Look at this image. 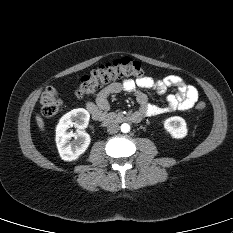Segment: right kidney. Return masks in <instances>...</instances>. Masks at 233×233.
<instances>
[{"label": "right kidney", "mask_w": 233, "mask_h": 233, "mask_svg": "<svg viewBox=\"0 0 233 233\" xmlns=\"http://www.w3.org/2000/svg\"><path fill=\"white\" fill-rule=\"evenodd\" d=\"M89 112L83 108L73 109L61 117L56 127V145L60 157L64 161L76 160L83 154L91 141L90 135L84 131L89 123ZM75 126L77 133L69 132ZM72 137L75 138L71 141Z\"/></svg>", "instance_id": "right-kidney-1"}]
</instances>
